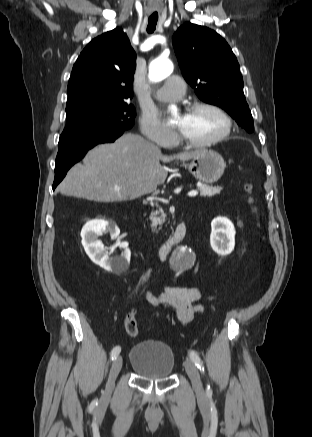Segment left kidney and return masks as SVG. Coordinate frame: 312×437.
I'll use <instances>...</instances> for the list:
<instances>
[{"label":"left kidney","instance_id":"left-kidney-1","mask_svg":"<svg viewBox=\"0 0 312 437\" xmlns=\"http://www.w3.org/2000/svg\"><path fill=\"white\" fill-rule=\"evenodd\" d=\"M235 228L225 217H216L211 222L210 244L221 256L229 255L235 246Z\"/></svg>","mask_w":312,"mask_h":437}]
</instances>
